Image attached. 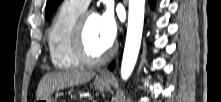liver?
Instances as JSON below:
<instances>
[{"instance_id":"liver-1","label":"liver","mask_w":221,"mask_h":102,"mask_svg":"<svg viewBox=\"0 0 221 102\" xmlns=\"http://www.w3.org/2000/svg\"><path fill=\"white\" fill-rule=\"evenodd\" d=\"M95 76V72L86 70H65L46 74L40 81L36 98L37 100L49 98L50 95L64 88L84 84Z\"/></svg>"}]
</instances>
